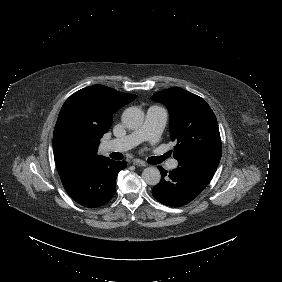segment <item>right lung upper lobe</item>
<instances>
[{
	"label": "right lung upper lobe",
	"mask_w": 282,
	"mask_h": 282,
	"mask_svg": "<svg viewBox=\"0 0 282 282\" xmlns=\"http://www.w3.org/2000/svg\"><path fill=\"white\" fill-rule=\"evenodd\" d=\"M135 98L103 85L89 86L71 95L61 108L53 134L58 173L102 157L97 155V149L111 127L113 113Z\"/></svg>",
	"instance_id": "cb5924a9"
}]
</instances>
